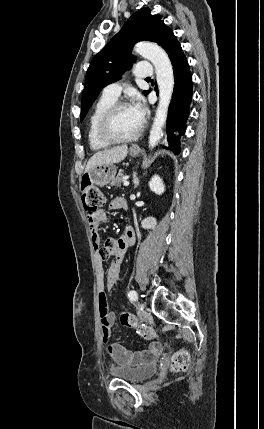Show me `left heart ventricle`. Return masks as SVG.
Returning a JSON list of instances; mask_svg holds the SVG:
<instances>
[{
  "mask_svg": "<svg viewBox=\"0 0 264 429\" xmlns=\"http://www.w3.org/2000/svg\"><path fill=\"white\" fill-rule=\"evenodd\" d=\"M140 122L131 107L120 109L111 122V132L118 137H129L140 127Z\"/></svg>",
  "mask_w": 264,
  "mask_h": 429,
  "instance_id": "b2bd125f",
  "label": "left heart ventricle"
}]
</instances>
